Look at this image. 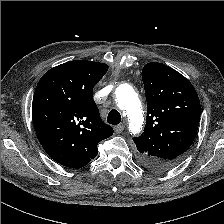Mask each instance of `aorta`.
<instances>
[{
	"instance_id": "762f6f07",
	"label": "aorta",
	"mask_w": 224,
	"mask_h": 224,
	"mask_svg": "<svg viewBox=\"0 0 224 224\" xmlns=\"http://www.w3.org/2000/svg\"><path fill=\"white\" fill-rule=\"evenodd\" d=\"M116 103L129 121V131L137 134L141 131L144 117L137 93L129 84H121L116 89Z\"/></svg>"
}]
</instances>
